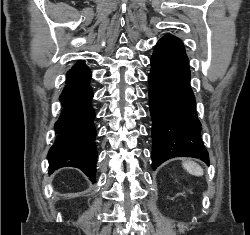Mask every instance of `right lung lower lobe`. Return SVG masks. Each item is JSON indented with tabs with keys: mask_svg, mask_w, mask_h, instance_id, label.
<instances>
[{
	"mask_svg": "<svg viewBox=\"0 0 250 235\" xmlns=\"http://www.w3.org/2000/svg\"><path fill=\"white\" fill-rule=\"evenodd\" d=\"M91 72L84 62H77L66 75V86L59 98L60 118L55 123L57 139L48 152L49 172L61 167H75L95 181L97 150L90 104Z\"/></svg>",
	"mask_w": 250,
	"mask_h": 235,
	"instance_id": "1",
	"label": "right lung lower lobe"
}]
</instances>
